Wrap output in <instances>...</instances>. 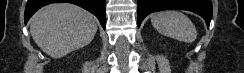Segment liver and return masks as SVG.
Segmentation results:
<instances>
[{"label":"liver","instance_id":"liver-1","mask_svg":"<svg viewBox=\"0 0 244 73\" xmlns=\"http://www.w3.org/2000/svg\"><path fill=\"white\" fill-rule=\"evenodd\" d=\"M35 43L52 58H61L88 45L97 32V19L71 3H53L30 19Z\"/></svg>","mask_w":244,"mask_h":73}]
</instances>
